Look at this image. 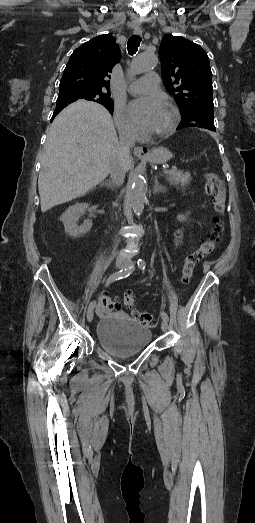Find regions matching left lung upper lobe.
Instances as JSON below:
<instances>
[{
  "mask_svg": "<svg viewBox=\"0 0 255 523\" xmlns=\"http://www.w3.org/2000/svg\"><path fill=\"white\" fill-rule=\"evenodd\" d=\"M159 56L166 90L182 112L180 127L192 125L216 131L212 72L206 52L192 41L167 34L161 41Z\"/></svg>",
  "mask_w": 255,
  "mask_h": 523,
  "instance_id": "obj_1",
  "label": "left lung upper lobe"
}]
</instances>
